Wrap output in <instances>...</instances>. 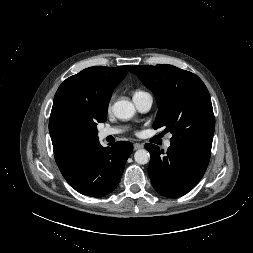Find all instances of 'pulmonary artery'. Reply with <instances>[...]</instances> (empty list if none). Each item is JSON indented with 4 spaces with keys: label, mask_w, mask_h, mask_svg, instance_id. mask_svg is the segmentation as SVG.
Returning a JSON list of instances; mask_svg holds the SVG:
<instances>
[{
    "label": "pulmonary artery",
    "mask_w": 253,
    "mask_h": 253,
    "mask_svg": "<svg viewBox=\"0 0 253 253\" xmlns=\"http://www.w3.org/2000/svg\"><path fill=\"white\" fill-rule=\"evenodd\" d=\"M133 101H134L136 108L140 112L144 113V112H147L150 110L152 103H153V98L149 93L142 92V93L135 94L133 96ZM119 133H121V129H119V128L105 127L103 129L99 130L98 136L101 139H105L108 136L117 135ZM170 146H171V142L168 139L165 141L164 147H165V149H168Z\"/></svg>",
    "instance_id": "e3ab8cb5"
}]
</instances>
